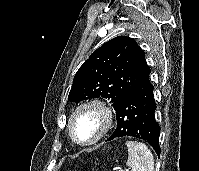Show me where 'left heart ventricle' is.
I'll use <instances>...</instances> for the list:
<instances>
[{
  "label": "left heart ventricle",
  "mask_w": 199,
  "mask_h": 171,
  "mask_svg": "<svg viewBox=\"0 0 199 171\" xmlns=\"http://www.w3.org/2000/svg\"><path fill=\"white\" fill-rule=\"evenodd\" d=\"M101 118L91 109L81 111L73 121V131L79 141L92 140L101 128Z\"/></svg>",
  "instance_id": "b2bd125f"
}]
</instances>
